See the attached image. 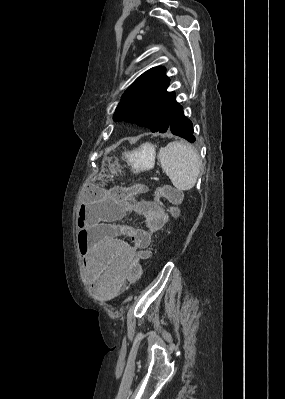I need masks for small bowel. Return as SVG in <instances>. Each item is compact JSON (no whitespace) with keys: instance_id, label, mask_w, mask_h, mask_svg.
<instances>
[{"instance_id":"small-bowel-1","label":"small bowel","mask_w":285,"mask_h":399,"mask_svg":"<svg viewBox=\"0 0 285 399\" xmlns=\"http://www.w3.org/2000/svg\"><path fill=\"white\" fill-rule=\"evenodd\" d=\"M138 215L142 227L128 228L125 238L113 236L106 230L80 231L87 248L86 271L94 278L96 290L105 298L119 295L129 282L130 268L137 258H146L152 235L158 233L167 221L165 211L157 205L130 204L116 215Z\"/></svg>"}]
</instances>
